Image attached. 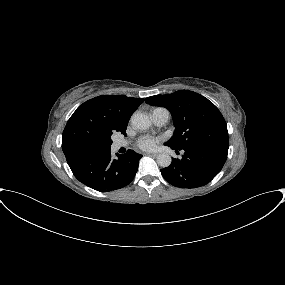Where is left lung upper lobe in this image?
<instances>
[{
  "mask_svg": "<svg viewBox=\"0 0 285 285\" xmlns=\"http://www.w3.org/2000/svg\"><path fill=\"white\" fill-rule=\"evenodd\" d=\"M146 103L167 108L176 127L166 143L171 149L215 147L228 151L225 119L218 108L204 96L189 90L147 97Z\"/></svg>",
  "mask_w": 285,
  "mask_h": 285,
  "instance_id": "obj_1",
  "label": "left lung upper lobe"
}]
</instances>
